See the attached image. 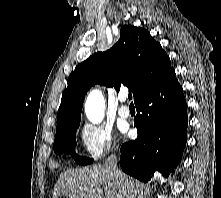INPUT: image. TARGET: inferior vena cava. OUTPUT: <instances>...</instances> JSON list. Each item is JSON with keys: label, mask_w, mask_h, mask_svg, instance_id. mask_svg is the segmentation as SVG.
I'll list each match as a JSON object with an SVG mask.
<instances>
[{"label": "inferior vena cava", "mask_w": 221, "mask_h": 198, "mask_svg": "<svg viewBox=\"0 0 221 198\" xmlns=\"http://www.w3.org/2000/svg\"><path fill=\"white\" fill-rule=\"evenodd\" d=\"M104 167L111 172L114 178L121 186L124 198H134V185L129 181L128 177L117 169V157L110 154L105 161Z\"/></svg>", "instance_id": "1"}]
</instances>
